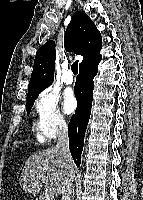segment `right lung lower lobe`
<instances>
[{"mask_svg": "<svg viewBox=\"0 0 143 200\" xmlns=\"http://www.w3.org/2000/svg\"><path fill=\"white\" fill-rule=\"evenodd\" d=\"M102 56L100 52L84 62L79 67L74 91L77 99V109L72 116L69 128V147L75 164L79 167L84 144V136L91 114L94 82L93 78L98 72V64Z\"/></svg>", "mask_w": 143, "mask_h": 200, "instance_id": "obj_1", "label": "right lung lower lobe"}]
</instances>
